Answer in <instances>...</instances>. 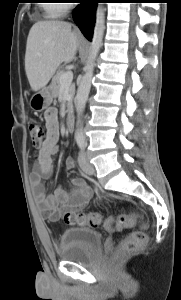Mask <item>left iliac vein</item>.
<instances>
[{
    "instance_id": "4c4485c4",
    "label": "left iliac vein",
    "mask_w": 181,
    "mask_h": 300,
    "mask_svg": "<svg viewBox=\"0 0 181 300\" xmlns=\"http://www.w3.org/2000/svg\"><path fill=\"white\" fill-rule=\"evenodd\" d=\"M79 165L82 171L87 175H93L95 173L93 165L89 162L84 151H81L78 157Z\"/></svg>"
}]
</instances>
